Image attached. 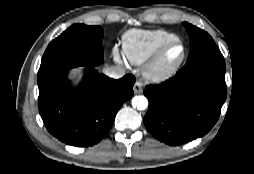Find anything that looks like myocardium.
<instances>
[{
	"label": "myocardium",
	"mask_w": 254,
	"mask_h": 174,
	"mask_svg": "<svg viewBox=\"0 0 254 174\" xmlns=\"http://www.w3.org/2000/svg\"><path fill=\"white\" fill-rule=\"evenodd\" d=\"M175 44H179L182 47V55L180 59L175 62L174 64L164 67L162 65V59L167 50ZM187 49L185 44L179 38H175L168 42L162 44L154 54L149 58L145 67H144V76L156 82H162L168 80L169 78L173 77L180 67L182 66L183 62L186 59Z\"/></svg>",
	"instance_id": "obj_1"
}]
</instances>
